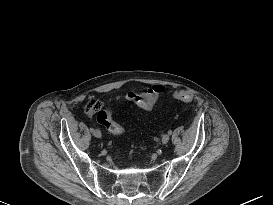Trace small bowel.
Returning a JSON list of instances; mask_svg holds the SVG:
<instances>
[{"label":"small bowel","instance_id":"1","mask_svg":"<svg viewBox=\"0 0 273 205\" xmlns=\"http://www.w3.org/2000/svg\"><path fill=\"white\" fill-rule=\"evenodd\" d=\"M165 92L162 85H153L144 92L129 91L116 97V100H125L136 104L145 111H150L156 104L158 98Z\"/></svg>","mask_w":273,"mask_h":205}]
</instances>
